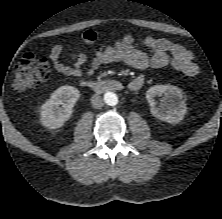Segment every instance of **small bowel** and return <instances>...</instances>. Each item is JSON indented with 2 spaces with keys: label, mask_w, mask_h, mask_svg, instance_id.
Here are the masks:
<instances>
[{
  "label": "small bowel",
  "mask_w": 222,
  "mask_h": 219,
  "mask_svg": "<svg viewBox=\"0 0 222 219\" xmlns=\"http://www.w3.org/2000/svg\"><path fill=\"white\" fill-rule=\"evenodd\" d=\"M82 41L85 45H92L97 41V34L94 31H86L82 35ZM143 45L150 53L136 48L134 37L124 35L112 44L102 45L89 61L84 53L76 52L72 54L69 63H64V48L61 44H55L50 50L49 60L57 72L77 79L92 75L101 66L115 62H122L139 70L158 69L169 65L187 76L198 75L199 66L194 60V55L182 45L153 36L145 37ZM87 64L88 67H85ZM132 81H140L143 84L144 77L140 75Z\"/></svg>",
  "instance_id": "obj_1"
}]
</instances>
